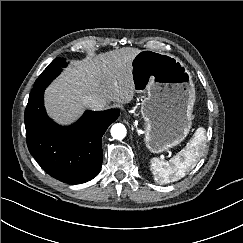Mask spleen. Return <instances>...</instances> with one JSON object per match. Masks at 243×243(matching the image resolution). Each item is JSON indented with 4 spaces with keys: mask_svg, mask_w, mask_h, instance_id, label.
<instances>
[{
    "mask_svg": "<svg viewBox=\"0 0 243 243\" xmlns=\"http://www.w3.org/2000/svg\"><path fill=\"white\" fill-rule=\"evenodd\" d=\"M205 132L206 130L203 127H199L194 133V137L188 142L186 148L182 149L169 161L152 158L151 170L155 182L167 184L183 178L202 156L201 149L206 140Z\"/></svg>",
    "mask_w": 243,
    "mask_h": 243,
    "instance_id": "3e777b00",
    "label": "spleen"
}]
</instances>
